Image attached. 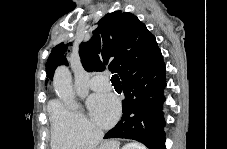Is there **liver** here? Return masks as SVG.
Returning a JSON list of instances; mask_svg holds the SVG:
<instances>
[{
    "label": "liver",
    "instance_id": "obj_1",
    "mask_svg": "<svg viewBox=\"0 0 227 149\" xmlns=\"http://www.w3.org/2000/svg\"><path fill=\"white\" fill-rule=\"evenodd\" d=\"M140 149H145L143 145H139ZM120 143L118 141L112 140L107 141L104 144H102L98 149H119Z\"/></svg>",
    "mask_w": 227,
    "mask_h": 149
}]
</instances>
